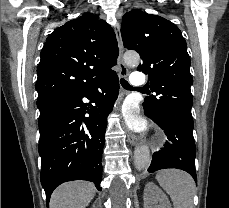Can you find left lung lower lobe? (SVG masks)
<instances>
[{"mask_svg": "<svg viewBox=\"0 0 229 208\" xmlns=\"http://www.w3.org/2000/svg\"><path fill=\"white\" fill-rule=\"evenodd\" d=\"M144 112L164 130L168 139L164 147L153 154L148 172L152 173L165 168H177L188 172L197 181L193 123L174 115L154 114L146 110Z\"/></svg>", "mask_w": 229, "mask_h": 208, "instance_id": "obj_1", "label": "left lung lower lobe"}]
</instances>
